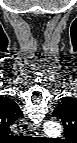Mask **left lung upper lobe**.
<instances>
[{"instance_id":"1","label":"left lung upper lobe","mask_w":77,"mask_h":143,"mask_svg":"<svg viewBox=\"0 0 77 143\" xmlns=\"http://www.w3.org/2000/svg\"><path fill=\"white\" fill-rule=\"evenodd\" d=\"M52 116L59 117L64 125L66 138H73L77 133V99L64 97L55 107Z\"/></svg>"}]
</instances>
